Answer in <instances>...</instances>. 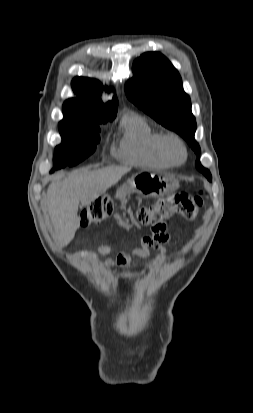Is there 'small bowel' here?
Instances as JSON below:
<instances>
[{
  "mask_svg": "<svg viewBox=\"0 0 253 413\" xmlns=\"http://www.w3.org/2000/svg\"><path fill=\"white\" fill-rule=\"evenodd\" d=\"M114 219L118 223H122L123 220L120 215H115ZM169 241V235L166 231V225L163 224L157 229H153V234L151 236L144 237L142 240V246L138 249H135L133 251V255L140 256V257H145L149 254V251L151 248L154 246H158L159 254L158 258H163L164 252H165V247L164 245ZM109 251L108 248L106 247H101L98 249L97 252H79L77 254V257L86 259L90 262H94L98 258L99 253H107ZM130 255L121 253L117 256L116 262L119 265H127L130 262ZM115 263L114 260L108 259L105 261L104 266H110Z\"/></svg>",
  "mask_w": 253,
  "mask_h": 413,
  "instance_id": "small-bowel-1",
  "label": "small bowel"
}]
</instances>
